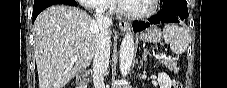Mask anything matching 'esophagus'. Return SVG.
I'll return each instance as SVG.
<instances>
[{
  "label": "esophagus",
  "instance_id": "obj_1",
  "mask_svg": "<svg viewBox=\"0 0 227 88\" xmlns=\"http://www.w3.org/2000/svg\"><path fill=\"white\" fill-rule=\"evenodd\" d=\"M119 27L120 29H122L123 31H128L130 29V24L129 22L125 21V20H121L119 22Z\"/></svg>",
  "mask_w": 227,
  "mask_h": 88
}]
</instances>
